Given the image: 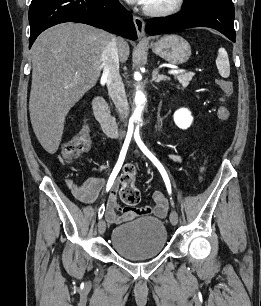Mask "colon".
I'll return each instance as SVG.
<instances>
[{"instance_id": "obj_1", "label": "colon", "mask_w": 261, "mask_h": 306, "mask_svg": "<svg viewBox=\"0 0 261 306\" xmlns=\"http://www.w3.org/2000/svg\"><path fill=\"white\" fill-rule=\"evenodd\" d=\"M218 85L221 89L222 96L220 101H224L233 92V83L229 80H218ZM217 117L220 120H227L230 117L229 110L220 105L216 111ZM90 132L87 127H83L75 136L67 141L62 150L63 158L66 162H72L80 155L85 153L90 146ZM136 169L134 165L127 164L120 176V198L127 205L132 208L140 201V192L135 183Z\"/></svg>"}]
</instances>
